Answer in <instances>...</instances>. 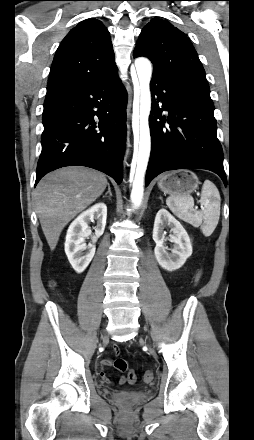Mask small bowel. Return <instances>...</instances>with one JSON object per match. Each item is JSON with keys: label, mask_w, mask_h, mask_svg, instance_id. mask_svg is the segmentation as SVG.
Wrapping results in <instances>:
<instances>
[{"label": "small bowel", "mask_w": 254, "mask_h": 440, "mask_svg": "<svg viewBox=\"0 0 254 440\" xmlns=\"http://www.w3.org/2000/svg\"><path fill=\"white\" fill-rule=\"evenodd\" d=\"M113 351H114V352H117V351H118V347H117V346H114V347H113ZM110 365H111V360H110V359H107V358L102 359V361H101V366H102L103 368L109 367ZM100 377H101V379H102L104 382H106V383H110V379L106 376V374H105L103 371L100 372Z\"/></svg>", "instance_id": "small-bowel-1"}]
</instances>
